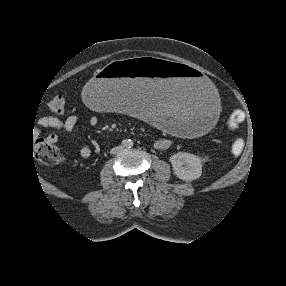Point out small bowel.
<instances>
[{
	"mask_svg": "<svg viewBox=\"0 0 286 286\" xmlns=\"http://www.w3.org/2000/svg\"><path fill=\"white\" fill-rule=\"evenodd\" d=\"M79 122L78 117L76 116H69L65 119H60L56 117H44L40 122V127L38 128V132H40L41 128H52L55 130H64V131H71L73 130ZM90 123L95 125L97 123V119L92 117L90 119ZM49 139L53 142L57 141L58 137L55 134L49 135ZM172 144L170 138L164 137L159 139L156 142V147L158 149H168ZM92 154V150L89 146H83L80 149V156L82 158H89Z\"/></svg>",
	"mask_w": 286,
	"mask_h": 286,
	"instance_id": "c3829d8e",
	"label": "small bowel"
}]
</instances>
